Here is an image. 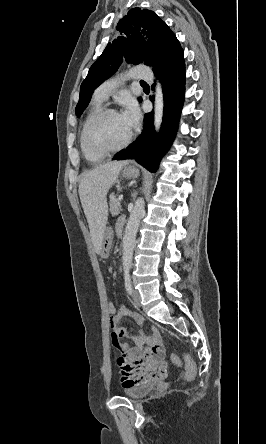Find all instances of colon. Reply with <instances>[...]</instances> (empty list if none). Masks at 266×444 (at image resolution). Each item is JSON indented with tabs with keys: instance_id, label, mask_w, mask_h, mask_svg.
Returning <instances> with one entry per match:
<instances>
[{
	"instance_id": "1",
	"label": "colon",
	"mask_w": 266,
	"mask_h": 444,
	"mask_svg": "<svg viewBox=\"0 0 266 444\" xmlns=\"http://www.w3.org/2000/svg\"><path fill=\"white\" fill-rule=\"evenodd\" d=\"M107 311L110 315V319H112L117 314V307L113 301H109L107 303ZM170 360L175 367H179L181 365V360L176 354H171ZM184 362H185V379L187 381H193L197 375V366L192 357L188 354H184Z\"/></svg>"
}]
</instances>
